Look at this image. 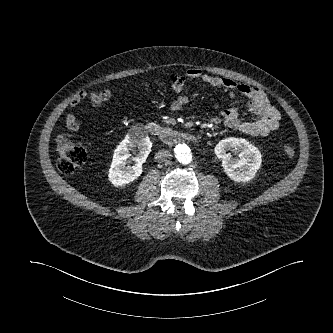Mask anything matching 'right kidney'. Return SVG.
Listing matches in <instances>:
<instances>
[{
	"label": "right kidney",
	"mask_w": 333,
	"mask_h": 333,
	"mask_svg": "<svg viewBox=\"0 0 333 333\" xmlns=\"http://www.w3.org/2000/svg\"><path fill=\"white\" fill-rule=\"evenodd\" d=\"M152 147V142L145 135L127 136L115 149L112 163L109 169V181L120 187L135 181L142 174V164L145 163ZM139 150L133 159V165L128 164L129 150Z\"/></svg>",
	"instance_id": "right-kidney-1"
}]
</instances>
